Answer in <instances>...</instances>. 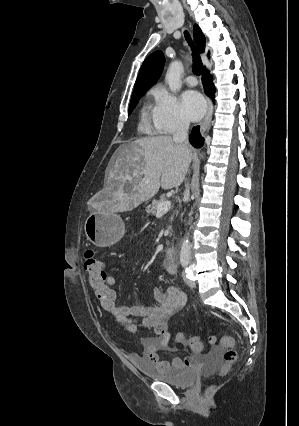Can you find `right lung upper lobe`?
I'll return each mask as SVG.
<instances>
[{
  "instance_id": "right-lung-upper-lobe-1",
  "label": "right lung upper lobe",
  "mask_w": 299,
  "mask_h": 426,
  "mask_svg": "<svg viewBox=\"0 0 299 426\" xmlns=\"http://www.w3.org/2000/svg\"><path fill=\"white\" fill-rule=\"evenodd\" d=\"M194 38L200 52L205 51V37L198 25H194ZM165 63L161 51H155L143 62L138 78L135 83L134 92L147 91L159 79Z\"/></svg>"
}]
</instances>
